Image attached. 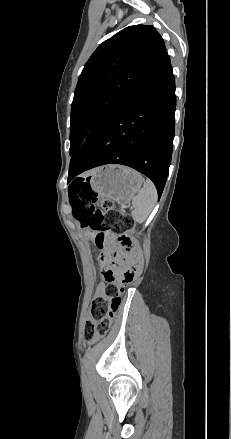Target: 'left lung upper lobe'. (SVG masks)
I'll return each instance as SVG.
<instances>
[{"label":"left lung upper lobe","instance_id":"left-lung-upper-lobe-1","mask_svg":"<svg viewBox=\"0 0 231 439\" xmlns=\"http://www.w3.org/2000/svg\"><path fill=\"white\" fill-rule=\"evenodd\" d=\"M168 56L153 26L126 27L104 41L85 64L74 92L70 155L91 138L125 95Z\"/></svg>","mask_w":231,"mask_h":439}]
</instances>
